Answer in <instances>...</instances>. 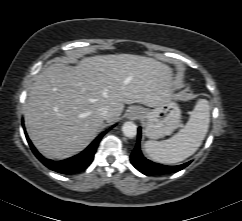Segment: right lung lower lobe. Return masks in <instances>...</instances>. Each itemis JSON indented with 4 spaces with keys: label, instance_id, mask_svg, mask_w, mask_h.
Listing matches in <instances>:
<instances>
[{
    "label": "right lung lower lobe",
    "instance_id": "obj_1",
    "mask_svg": "<svg viewBox=\"0 0 242 221\" xmlns=\"http://www.w3.org/2000/svg\"><path fill=\"white\" fill-rule=\"evenodd\" d=\"M107 131L101 133L84 151H82L80 154L71 157L66 160L62 161H52L49 159L44 158L40 153L37 152V150L32 145L31 141L29 140L28 136L27 141L33 151V153L36 155V157L49 169L62 173V174H74L77 172H80L87 168L91 162L93 161L94 154L96 152V149L98 147V144L103 137V135Z\"/></svg>",
    "mask_w": 242,
    "mask_h": 221
}]
</instances>
